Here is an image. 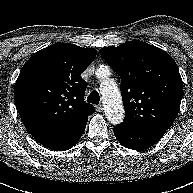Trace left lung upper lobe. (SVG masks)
<instances>
[{"label":"left lung upper lobe","mask_w":193,"mask_h":193,"mask_svg":"<svg viewBox=\"0 0 193 193\" xmlns=\"http://www.w3.org/2000/svg\"><path fill=\"white\" fill-rule=\"evenodd\" d=\"M100 54L121 77L126 117L118 127L127 130H168L183 95V82L174 59L142 41L104 47Z\"/></svg>","instance_id":"left-lung-upper-lobe-1"}]
</instances>
